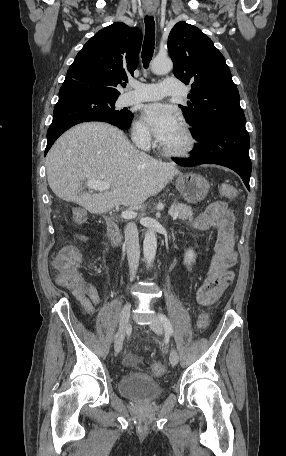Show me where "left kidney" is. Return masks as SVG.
Wrapping results in <instances>:
<instances>
[{"label":"left kidney","mask_w":286,"mask_h":456,"mask_svg":"<svg viewBox=\"0 0 286 456\" xmlns=\"http://www.w3.org/2000/svg\"><path fill=\"white\" fill-rule=\"evenodd\" d=\"M196 254L193 249H188L185 253L184 264L190 269L191 262H195Z\"/></svg>","instance_id":"1"}]
</instances>
